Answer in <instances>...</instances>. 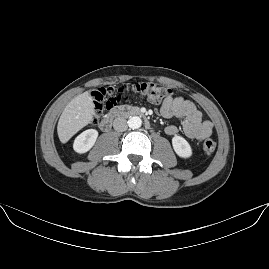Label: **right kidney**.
Here are the masks:
<instances>
[{
  "label": "right kidney",
  "mask_w": 269,
  "mask_h": 269,
  "mask_svg": "<svg viewBox=\"0 0 269 269\" xmlns=\"http://www.w3.org/2000/svg\"><path fill=\"white\" fill-rule=\"evenodd\" d=\"M98 132L95 129H88L78 135L73 144V149L77 153H85L89 151L96 142Z\"/></svg>",
  "instance_id": "right-kidney-1"
}]
</instances>
